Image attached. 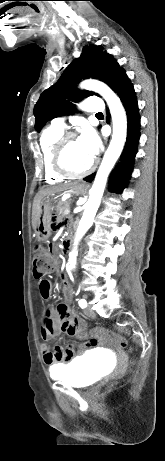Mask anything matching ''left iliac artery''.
<instances>
[{
	"label": "left iliac artery",
	"mask_w": 165,
	"mask_h": 461,
	"mask_svg": "<svg viewBox=\"0 0 165 461\" xmlns=\"http://www.w3.org/2000/svg\"><path fill=\"white\" fill-rule=\"evenodd\" d=\"M79 306H80L81 308H85V307L87 306L86 300L81 299V300L79 301Z\"/></svg>",
	"instance_id": "1"
}]
</instances>
